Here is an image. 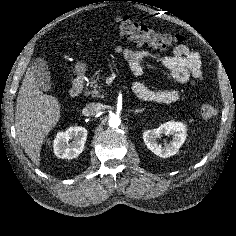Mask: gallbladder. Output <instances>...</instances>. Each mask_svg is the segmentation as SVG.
<instances>
[{"mask_svg": "<svg viewBox=\"0 0 236 236\" xmlns=\"http://www.w3.org/2000/svg\"><path fill=\"white\" fill-rule=\"evenodd\" d=\"M31 71L40 90L48 92L52 89L48 65L43 59L37 58L31 66Z\"/></svg>", "mask_w": 236, "mask_h": 236, "instance_id": "obj_1", "label": "gallbladder"}]
</instances>
